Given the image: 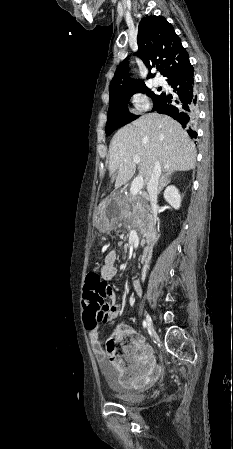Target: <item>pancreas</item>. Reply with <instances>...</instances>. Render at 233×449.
Listing matches in <instances>:
<instances>
[{
  "label": "pancreas",
  "mask_w": 233,
  "mask_h": 449,
  "mask_svg": "<svg viewBox=\"0 0 233 449\" xmlns=\"http://www.w3.org/2000/svg\"><path fill=\"white\" fill-rule=\"evenodd\" d=\"M123 217L131 223L132 226L138 228L144 233L146 227L152 222L149 205L145 196L132 195L129 193L123 199Z\"/></svg>",
  "instance_id": "pancreas-1"
}]
</instances>
